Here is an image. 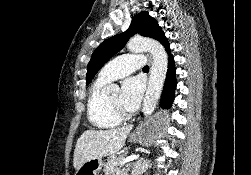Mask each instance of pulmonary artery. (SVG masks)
Here are the masks:
<instances>
[{"mask_svg":"<svg viewBox=\"0 0 251 175\" xmlns=\"http://www.w3.org/2000/svg\"><path fill=\"white\" fill-rule=\"evenodd\" d=\"M142 52H127V55H119L114 58V62H106L99 75L98 79L104 82H111L122 76H130L133 70H139V67H145Z\"/></svg>","mask_w":251,"mask_h":175,"instance_id":"pulmonary-artery-1","label":"pulmonary artery"}]
</instances>
